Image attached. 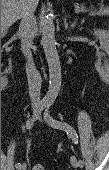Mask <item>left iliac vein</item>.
I'll return each mask as SVG.
<instances>
[{
	"label": "left iliac vein",
	"mask_w": 109,
	"mask_h": 170,
	"mask_svg": "<svg viewBox=\"0 0 109 170\" xmlns=\"http://www.w3.org/2000/svg\"><path fill=\"white\" fill-rule=\"evenodd\" d=\"M71 164L73 167L77 168V167H82L79 163V161L76 159V157L72 156L71 157Z\"/></svg>",
	"instance_id": "obj_1"
}]
</instances>
